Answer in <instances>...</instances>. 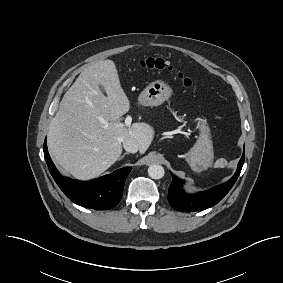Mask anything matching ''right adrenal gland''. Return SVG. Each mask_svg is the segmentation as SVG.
I'll return each mask as SVG.
<instances>
[{
  "instance_id": "2a0ac1e0",
  "label": "right adrenal gland",
  "mask_w": 283,
  "mask_h": 283,
  "mask_svg": "<svg viewBox=\"0 0 283 283\" xmlns=\"http://www.w3.org/2000/svg\"><path fill=\"white\" fill-rule=\"evenodd\" d=\"M127 154H129V153H124L120 158H119V160H121V159H123Z\"/></svg>"
}]
</instances>
